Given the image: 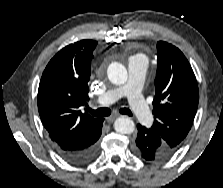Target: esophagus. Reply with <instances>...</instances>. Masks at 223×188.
<instances>
[{"instance_id": "34e87169", "label": "esophagus", "mask_w": 223, "mask_h": 188, "mask_svg": "<svg viewBox=\"0 0 223 188\" xmlns=\"http://www.w3.org/2000/svg\"><path fill=\"white\" fill-rule=\"evenodd\" d=\"M119 116H120L119 114H115L113 116L106 118V120H107V122H113Z\"/></svg>"}]
</instances>
